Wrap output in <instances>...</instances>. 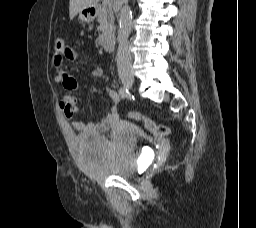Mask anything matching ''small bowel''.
I'll list each match as a JSON object with an SVG mask.
<instances>
[{
    "mask_svg": "<svg viewBox=\"0 0 256 228\" xmlns=\"http://www.w3.org/2000/svg\"><path fill=\"white\" fill-rule=\"evenodd\" d=\"M77 59L78 53L73 47H68L67 53L64 57L59 58L55 55L53 57V66L56 71L54 82L62 84L63 87L70 92L77 90L78 83L73 76H71L64 70V60L73 62ZM102 73V69L97 67L93 71V76L101 77ZM106 91L114 101V106L112 107L111 111L98 122L85 123L81 120L73 119L74 115L78 111L75 97H73L72 95H66L62 98V100L60 101V108L64 115L72 120V125L75 130L86 133H98L110 129H118L123 125V120L121 119L118 110L120 97L117 93L115 84L109 83L106 86Z\"/></svg>",
    "mask_w": 256,
    "mask_h": 228,
    "instance_id": "1",
    "label": "small bowel"
}]
</instances>
